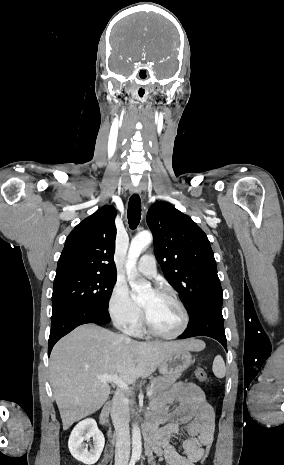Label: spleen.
<instances>
[{
	"label": "spleen",
	"mask_w": 284,
	"mask_h": 465,
	"mask_svg": "<svg viewBox=\"0 0 284 465\" xmlns=\"http://www.w3.org/2000/svg\"><path fill=\"white\" fill-rule=\"evenodd\" d=\"M212 371L217 379H224L226 375V367L221 355H217V357H215Z\"/></svg>",
	"instance_id": "obj_1"
}]
</instances>
